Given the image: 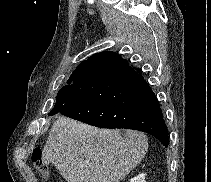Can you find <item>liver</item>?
Returning <instances> with one entry per match:
<instances>
[{
	"label": "liver",
	"mask_w": 211,
	"mask_h": 182,
	"mask_svg": "<svg viewBox=\"0 0 211 182\" xmlns=\"http://www.w3.org/2000/svg\"><path fill=\"white\" fill-rule=\"evenodd\" d=\"M146 135L138 131L99 129L60 117L43 149L67 182H119L145 157Z\"/></svg>",
	"instance_id": "obj_1"
}]
</instances>
